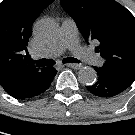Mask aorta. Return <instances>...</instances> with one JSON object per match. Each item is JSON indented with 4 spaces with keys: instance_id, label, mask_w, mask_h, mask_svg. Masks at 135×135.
Wrapping results in <instances>:
<instances>
[{
    "instance_id": "1",
    "label": "aorta",
    "mask_w": 135,
    "mask_h": 135,
    "mask_svg": "<svg viewBox=\"0 0 135 135\" xmlns=\"http://www.w3.org/2000/svg\"><path fill=\"white\" fill-rule=\"evenodd\" d=\"M35 35L44 42L56 41L59 28L52 19H41L35 24ZM78 79L84 85H92L97 79V73L92 67H83L78 72Z\"/></svg>"
}]
</instances>
